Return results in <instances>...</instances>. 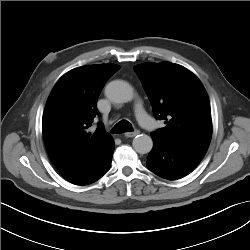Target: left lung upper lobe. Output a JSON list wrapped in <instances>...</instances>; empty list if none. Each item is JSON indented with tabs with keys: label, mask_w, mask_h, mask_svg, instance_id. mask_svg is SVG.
<instances>
[{
	"label": "left lung upper lobe",
	"mask_w": 250,
	"mask_h": 250,
	"mask_svg": "<svg viewBox=\"0 0 250 250\" xmlns=\"http://www.w3.org/2000/svg\"><path fill=\"white\" fill-rule=\"evenodd\" d=\"M151 101L153 113L166 126L151 135L166 142L208 148L212 136L209 99L200 80L171 62L134 67Z\"/></svg>",
	"instance_id": "1"
}]
</instances>
